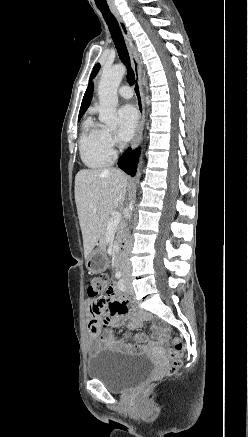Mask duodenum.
<instances>
[{"instance_id": "obj_1", "label": "duodenum", "mask_w": 248, "mask_h": 437, "mask_svg": "<svg viewBox=\"0 0 248 437\" xmlns=\"http://www.w3.org/2000/svg\"><path fill=\"white\" fill-rule=\"evenodd\" d=\"M124 252H125V247L123 245L119 246L115 258V264L117 267H120L122 264Z\"/></svg>"}]
</instances>
